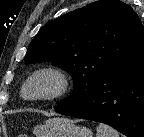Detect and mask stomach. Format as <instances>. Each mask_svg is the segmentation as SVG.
<instances>
[{
  "instance_id": "0dacf381",
  "label": "stomach",
  "mask_w": 144,
  "mask_h": 137,
  "mask_svg": "<svg viewBox=\"0 0 144 137\" xmlns=\"http://www.w3.org/2000/svg\"><path fill=\"white\" fill-rule=\"evenodd\" d=\"M36 137H93V133L86 127H80L67 118H53L44 125H37L33 129Z\"/></svg>"
}]
</instances>
